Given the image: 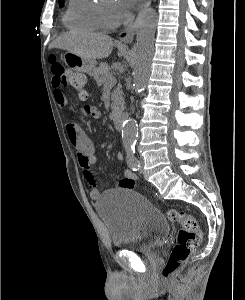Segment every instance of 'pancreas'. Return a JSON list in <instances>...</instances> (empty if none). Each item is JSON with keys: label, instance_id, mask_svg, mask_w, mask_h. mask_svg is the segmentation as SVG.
Segmentation results:
<instances>
[{"label": "pancreas", "instance_id": "cf45deb5", "mask_svg": "<svg viewBox=\"0 0 245 300\" xmlns=\"http://www.w3.org/2000/svg\"><path fill=\"white\" fill-rule=\"evenodd\" d=\"M93 77L96 80L97 85H103L104 88H111L116 83L113 73L110 71L109 66L105 63L100 64L98 68L94 69ZM112 101V114L110 117L113 119L124 107L122 91L119 89V87L114 91V94L112 95Z\"/></svg>", "mask_w": 245, "mask_h": 300}]
</instances>
